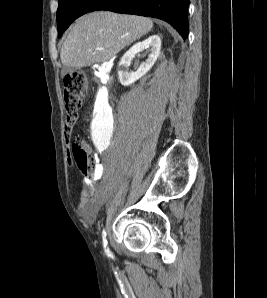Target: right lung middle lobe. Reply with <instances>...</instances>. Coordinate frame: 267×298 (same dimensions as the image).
Segmentation results:
<instances>
[{
    "instance_id": "dd1d6c3e",
    "label": "right lung middle lobe",
    "mask_w": 267,
    "mask_h": 298,
    "mask_svg": "<svg viewBox=\"0 0 267 298\" xmlns=\"http://www.w3.org/2000/svg\"><path fill=\"white\" fill-rule=\"evenodd\" d=\"M99 0H58V37L81 15L91 11Z\"/></svg>"
}]
</instances>
